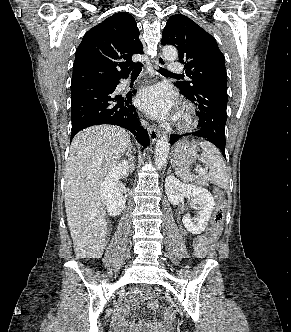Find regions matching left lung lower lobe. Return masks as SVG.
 <instances>
[{"mask_svg": "<svg viewBox=\"0 0 291 332\" xmlns=\"http://www.w3.org/2000/svg\"><path fill=\"white\" fill-rule=\"evenodd\" d=\"M184 95V94H183ZM191 100L199 109L200 130L183 135L173 134L170 136V143L184 135H195L208 139L220 149L225 157V124L227 108V91L223 89H199L193 95H184Z\"/></svg>", "mask_w": 291, "mask_h": 332, "instance_id": "1", "label": "left lung lower lobe"}]
</instances>
